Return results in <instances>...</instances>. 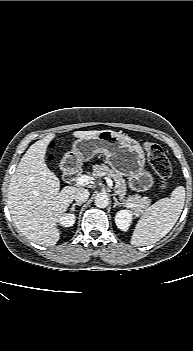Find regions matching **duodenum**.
<instances>
[{
	"instance_id": "410a0bca",
	"label": "duodenum",
	"mask_w": 193,
	"mask_h": 351,
	"mask_svg": "<svg viewBox=\"0 0 193 351\" xmlns=\"http://www.w3.org/2000/svg\"><path fill=\"white\" fill-rule=\"evenodd\" d=\"M80 174V165L76 158L68 156L63 161V177L67 183L72 184Z\"/></svg>"
}]
</instances>
